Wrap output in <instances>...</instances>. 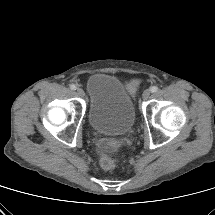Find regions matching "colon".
Returning <instances> with one entry per match:
<instances>
[{
	"label": "colon",
	"mask_w": 215,
	"mask_h": 215,
	"mask_svg": "<svg viewBox=\"0 0 215 215\" xmlns=\"http://www.w3.org/2000/svg\"><path fill=\"white\" fill-rule=\"evenodd\" d=\"M135 86H136V83L135 82H132L130 84L127 85V89L130 91V92H134L135 90ZM109 146L113 149V150H117L119 144H118V141L115 140V139H111L109 141ZM117 164V160L116 158L111 155V154H108V153H105L101 156L100 158V165L103 169L105 170H111L113 169Z\"/></svg>",
	"instance_id": "5ec220e1"
}]
</instances>
